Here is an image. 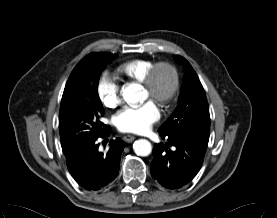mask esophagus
<instances>
[{"mask_svg":"<svg viewBox=\"0 0 277 218\" xmlns=\"http://www.w3.org/2000/svg\"><path fill=\"white\" fill-rule=\"evenodd\" d=\"M134 136H131V135H128V136H126L125 138H124V140L126 141V142H131V141H133L134 140Z\"/></svg>","mask_w":277,"mask_h":218,"instance_id":"34e87169","label":"esophagus"}]
</instances>
